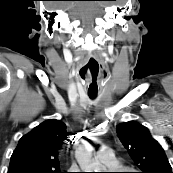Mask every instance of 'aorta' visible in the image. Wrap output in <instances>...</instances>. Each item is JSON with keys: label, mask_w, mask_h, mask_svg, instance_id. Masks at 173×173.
<instances>
[{"label": "aorta", "mask_w": 173, "mask_h": 173, "mask_svg": "<svg viewBox=\"0 0 173 173\" xmlns=\"http://www.w3.org/2000/svg\"><path fill=\"white\" fill-rule=\"evenodd\" d=\"M76 159L82 172H99V164L94 161L91 150L86 147L76 152Z\"/></svg>", "instance_id": "1"}]
</instances>
